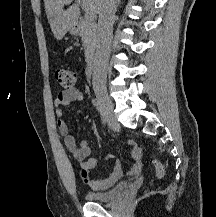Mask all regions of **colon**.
Masks as SVG:
<instances>
[{
    "instance_id": "1",
    "label": "colon",
    "mask_w": 216,
    "mask_h": 217,
    "mask_svg": "<svg viewBox=\"0 0 216 217\" xmlns=\"http://www.w3.org/2000/svg\"><path fill=\"white\" fill-rule=\"evenodd\" d=\"M55 78L58 84L65 90H71L75 87L76 84V74L68 69L59 68L55 72ZM142 148L136 145L134 153L140 155ZM155 171L157 177L161 178L164 175V168L162 164L158 161H154Z\"/></svg>"
}]
</instances>
